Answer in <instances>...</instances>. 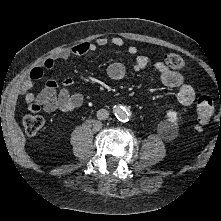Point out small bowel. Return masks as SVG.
<instances>
[{
    "label": "small bowel",
    "instance_id": "small-bowel-1",
    "mask_svg": "<svg viewBox=\"0 0 221 221\" xmlns=\"http://www.w3.org/2000/svg\"><path fill=\"white\" fill-rule=\"evenodd\" d=\"M112 44L116 47L126 46L122 37L114 36L99 37L95 41H86L76 44L71 48H63L57 51L51 57H48L41 66L35 68L29 77L24 79L20 85V93L23 96L28 108L32 111L44 110L46 112H72L79 108L83 102V96L80 93H71L68 87L73 85L72 78H65L61 83L54 79H49L45 87L37 92H32L37 80L44 75V70L55 68L59 60H66L75 55H85L93 53L100 47ZM129 54L135 56L133 69L136 72L144 70L148 65V58L138 54L135 46L128 47ZM155 70L159 73L160 81L168 88L177 90V100L182 106H190L195 100V90L193 86L186 82L183 76L172 69H169L163 62L154 64ZM107 74L112 80H121L126 74L125 66L120 62H114L107 68Z\"/></svg>",
    "mask_w": 221,
    "mask_h": 221
}]
</instances>
